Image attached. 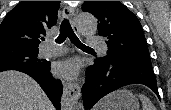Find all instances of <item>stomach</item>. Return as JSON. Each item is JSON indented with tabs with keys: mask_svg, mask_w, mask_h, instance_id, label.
<instances>
[{
	"mask_svg": "<svg viewBox=\"0 0 171 110\" xmlns=\"http://www.w3.org/2000/svg\"><path fill=\"white\" fill-rule=\"evenodd\" d=\"M99 110H139V102L128 90H118L105 97Z\"/></svg>",
	"mask_w": 171,
	"mask_h": 110,
	"instance_id": "0dacf381",
	"label": "stomach"
}]
</instances>
